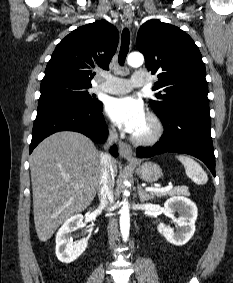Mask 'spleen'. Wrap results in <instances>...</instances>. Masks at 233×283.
Masks as SVG:
<instances>
[{
	"label": "spleen",
	"instance_id": "spleen-1",
	"mask_svg": "<svg viewBox=\"0 0 233 283\" xmlns=\"http://www.w3.org/2000/svg\"><path fill=\"white\" fill-rule=\"evenodd\" d=\"M177 159L183 164L186 175L198 185L206 184L208 181L207 174L202 167L189 156L179 155Z\"/></svg>",
	"mask_w": 233,
	"mask_h": 283
}]
</instances>
